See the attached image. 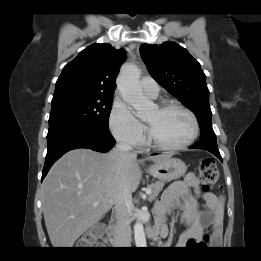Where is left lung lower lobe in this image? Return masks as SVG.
I'll return each mask as SVG.
<instances>
[{
    "instance_id": "1",
    "label": "left lung lower lobe",
    "mask_w": 261,
    "mask_h": 261,
    "mask_svg": "<svg viewBox=\"0 0 261 261\" xmlns=\"http://www.w3.org/2000/svg\"><path fill=\"white\" fill-rule=\"evenodd\" d=\"M190 148L207 150L222 161V157L217 147L216 138L207 137V138L200 139L195 145L191 146Z\"/></svg>"
}]
</instances>
